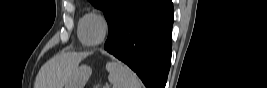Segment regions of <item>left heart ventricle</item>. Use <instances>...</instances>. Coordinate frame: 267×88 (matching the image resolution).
<instances>
[{"instance_id":"1","label":"left heart ventricle","mask_w":267,"mask_h":88,"mask_svg":"<svg viewBox=\"0 0 267 88\" xmlns=\"http://www.w3.org/2000/svg\"><path fill=\"white\" fill-rule=\"evenodd\" d=\"M103 33V26L101 22L94 17H90L85 22L84 35L88 42H96Z\"/></svg>"}]
</instances>
